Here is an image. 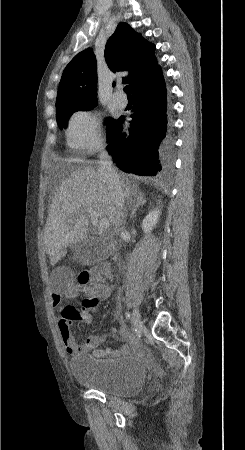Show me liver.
<instances>
[{"label":"liver","instance_id":"obj_1","mask_svg":"<svg viewBox=\"0 0 245 450\" xmlns=\"http://www.w3.org/2000/svg\"><path fill=\"white\" fill-rule=\"evenodd\" d=\"M122 184L127 199L137 191L135 184L124 181ZM87 208H92L100 217L106 216L115 229L122 225L123 214L114 204L106 182L89 166L70 172L52 197L43 235L51 265L66 254L69 244H77L85 238ZM70 219L72 223L68 222Z\"/></svg>","mask_w":245,"mask_h":450}]
</instances>
